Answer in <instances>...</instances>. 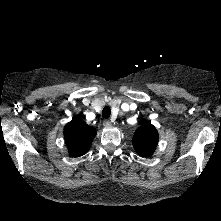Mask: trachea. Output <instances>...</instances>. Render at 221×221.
Returning <instances> with one entry per match:
<instances>
[{"instance_id":"1","label":"trachea","mask_w":221,"mask_h":221,"mask_svg":"<svg viewBox=\"0 0 221 221\" xmlns=\"http://www.w3.org/2000/svg\"><path fill=\"white\" fill-rule=\"evenodd\" d=\"M111 115V109L110 107L106 106L104 107V109L102 110V116L103 118H109Z\"/></svg>"}]
</instances>
